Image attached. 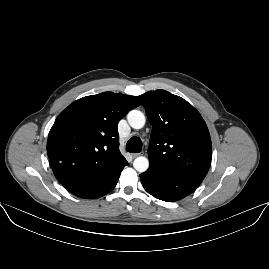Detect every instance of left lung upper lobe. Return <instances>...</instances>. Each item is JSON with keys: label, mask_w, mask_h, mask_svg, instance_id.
<instances>
[{"label": "left lung upper lobe", "mask_w": 269, "mask_h": 269, "mask_svg": "<svg viewBox=\"0 0 269 269\" xmlns=\"http://www.w3.org/2000/svg\"><path fill=\"white\" fill-rule=\"evenodd\" d=\"M153 126L150 167L203 180L212 159L211 138L199 112L183 98L165 90L137 97Z\"/></svg>", "instance_id": "left-lung-upper-lobe-1"}]
</instances>
